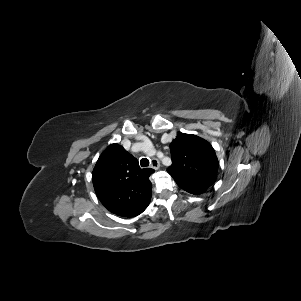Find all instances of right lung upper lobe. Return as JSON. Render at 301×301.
<instances>
[{"mask_svg": "<svg viewBox=\"0 0 301 301\" xmlns=\"http://www.w3.org/2000/svg\"><path fill=\"white\" fill-rule=\"evenodd\" d=\"M153 169H141L122 146L111 144L99 157L92 173L95 192L110 212L135 217L149 205Z\"/></svg>", "mask_w": 301, "mask_h": 301, "instance_id": "obj_1", "label": "right lung upper lobe"}]
</instances>
